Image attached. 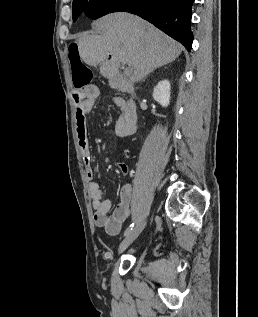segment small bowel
I'll return each mask as SVG.
<instances>
[{"label":"small bowel","mask_w":258,"mask_h":317,"mask_svg":"<svg viewBox=\"0 0 258 317\" xmlns=\"http://www.w3.org/2000/svg\"><path fill=\"white\" fill-rule=\"evenodd\" d=\"M87 98L85 102L77 106L75 111L76 133L80 151L84 160L86 175L89 179V195L94 209V223L97 227L103 228L110 236L119 234L123 224L131 217L134 208L133 190L129 184L124 185L120 191V203L112 213V204L103 198L99 184L94 181L92 168L91 145L88 138L87 117L94 106L98 90L95 87L86 88ZM115 104L120 108L121 115L115 124V132L120 137L132 135L136 129V109L133 103L122 98H115ZM119 171L124 175H133L127 164L119 162Z\"/></svg>","instance_id":"c3829d8e"}]
</instances>
